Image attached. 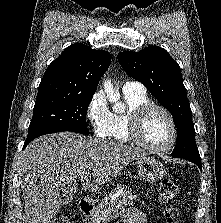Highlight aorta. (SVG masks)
<instances>
[{"label":"aorta","mask_w":221,"mask_h":223,"mask_svg":"<svg viewBox=\"0 0 221 223\" xmlns=\"http://www.w3.org/2000/svg\"><path fill=\"white\" fill-rule=\"evenodd\" d=\"M103 86L109 102L114 104L113 110L115 112H123L125 109L124 104L119 102L120 94L113 88L111 80L109 79L105 80Z\"/></svg>","instance_id":"1"}]
</instances>
